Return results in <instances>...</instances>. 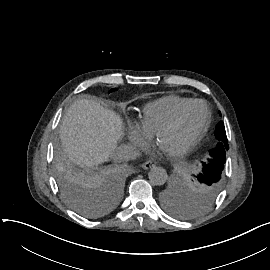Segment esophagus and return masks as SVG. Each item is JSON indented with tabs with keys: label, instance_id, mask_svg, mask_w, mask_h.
I'll return each instance as SVG.
<instances>
[{
	"label": "esophagus",
	"instance_id": "1",
	"mask_svg": "<svg viewBox=\"0 0 270 270\" xmlns=\"http://www.w3.org/2000/svg\"><path fill=\"white\" fill-rule=\"evenodd\" d=\"M141 167L143 168V169H145V170H148V169H150V168H153V167H155V163L153 162V161H145L142 165H141Z\"/></svg>",
	"mask_w": 270,
	"mask_h": 270
}]
</instances>
